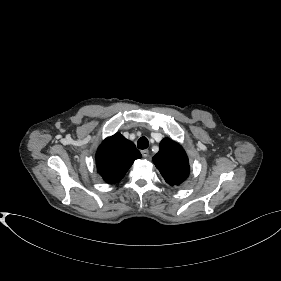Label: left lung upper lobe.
Returning <instances> with one entry per match:
<instances>
[{"label":"left lung upper lobe","instance_id":"left-lung-upper-lobe-1","mask_svg":"<svg viewBox=\"0 0 281 281\" xmlns=\"http://www.w3.org/2000/svg\"><path fill=\"white\" fill-rule=\"evenodd\" d=\"M152 160L170 186L180 185L189 176L188 157L183 147L170 138L160 142L159 152Z\"/></svg>","mask_w":281,"mask_h":281}]
</instances>
